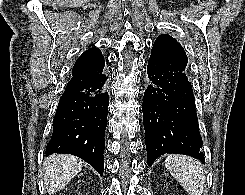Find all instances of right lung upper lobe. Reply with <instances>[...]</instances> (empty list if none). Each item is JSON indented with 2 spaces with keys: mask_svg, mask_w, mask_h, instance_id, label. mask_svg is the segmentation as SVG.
Here are the masks:
<instances>
[{
  "mask_svg": "<svg viewBox=\"0 0 245 195\" xmlns=\"http://www.w3.org/2000/svg\"><path fill=\"white\" fill-rule=\"evenodd\" d=\"M104 66V58L102 53L97 48H91L84 52L76 61L73 70V74H86L91 69H96Z\"/></svg>",
  "mask_w": 245,
  "mask_h": 195,
  "instance_id": "cb5924a9",
  "label": "right lung upper lobe"
}]
</instances>
